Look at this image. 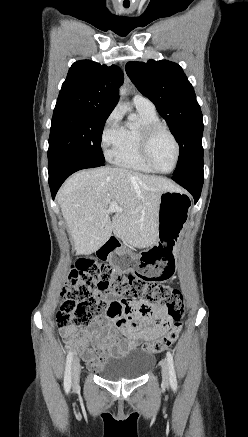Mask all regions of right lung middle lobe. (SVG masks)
Segmentation results:
<instances>
[{"label": "right lung middle lobe", "mask_w": 248, "mask_h": 437, "mask_svg": "<svg viewBox=\"0 0 248 437\" xmlns=\"http://www.w3.org/2000/svg\"><path fill=\"white\" fill-rule=\"evenodd\" d=\"M109 115L56 106L50 131L48 161L62 155H79L104 162L100 141Z\"/></svg>", "instance_id": "right-lung-middle-lobe-1"}]
</instances>
